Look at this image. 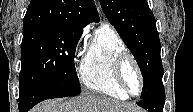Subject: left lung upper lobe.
<instances>
[{
  "label": "left lung upper lobe",
  "mask_w": 193,
  "mask_h": 112,
  "mask_svg": "<svg viewBox=\"0 0 193 112\" xmlns=\"http://www.w3.org/2000/svg\"><path fill=\"white\" fill-rule=\"evenodd\" d=\"M100 4L139 65L143 100L154 91L164 73L154 15L146 0H100Z\"/></svg>",
  "instance_id": "1"
}]
</instances>
